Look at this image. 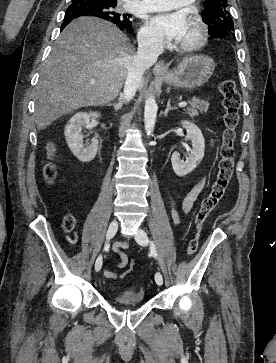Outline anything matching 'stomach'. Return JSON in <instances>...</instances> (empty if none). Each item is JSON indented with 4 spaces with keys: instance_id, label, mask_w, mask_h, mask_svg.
I'll list each match as a JSON object with an SVG mask.
<instances>
[{
    "instance_id": "obj_1",
    "label": "stomach",
    "mask_w": 276,
    "mask_h": 363,
    "mask_svg": "<svg viewBox=\"0 0 276 363\" xmlns=\"http://www.w3.org/2000/svg\"><path fill=\"white\" fill-rule=\"evenodd\" d=\"M215 69V63L208 56L183 58L173 70L158 75L166 84L193 90L204 85Z\"/></svg>"
}]
</instances>
